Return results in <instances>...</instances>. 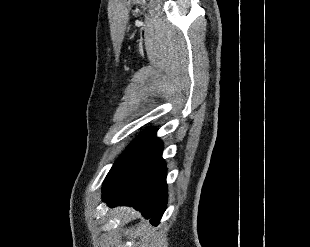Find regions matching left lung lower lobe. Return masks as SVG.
Instances as JSON below:
<instances>
[{
    "instance_id": "0a47b994",
    "label": "left lung lower lobe",
    "mask_w": 310,
    "mask_h": 247,
    "mask_svg": "<svg viewBox=\"0 0 310 247\" xmlns=\"http://www.w3.org/2000/svg\"><path fill=\"white\" fill-rule=\"evenodd\" d=\"M156 130L142 132L113 165L103 183V201L128 205L157 225L166 209V166Z\"/></svg>"
}]
</instances>
